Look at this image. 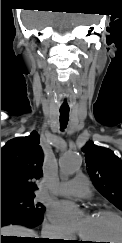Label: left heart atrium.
I'll return each mask as SVG.
<instances>
[{"mask_svg": "<svg viewBox=\"0 0 122 243\" xmlns=\"http://www.w3.org/2000/svg\"><path fill=\"white\" fill-rule=\"evenodd\" d=\"M52 221L62 229L70 232H82L86 218H80L76 207L67 201L54 204L49 212Z\"/></svg>", "mask_w": 122, "mask_h": 243, "instance_id": "left-heart-atrium-1", "label": "left heart atrium"}]
</instances>
